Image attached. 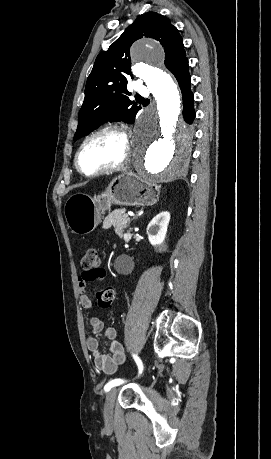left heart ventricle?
I'll return each mask as SVG.
<instances>
[{"instance_id": "1", "label": "left heart ventricle", "mask_w": 271, "mask_h": 459, "mask_svg": "<svg viewBox=\"0 0 271 459\" xmlns=\"http://www.w3.org/2000/svg\"><path fill=\"white\" fill-rule=\"evenodd\" d=\"M126 150L125 141L113 132H104L89 139L84 145L79 162L86 172L117 162Z\"/></svg>"}]
</instances>
